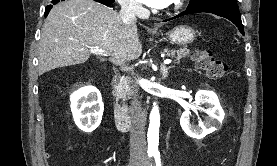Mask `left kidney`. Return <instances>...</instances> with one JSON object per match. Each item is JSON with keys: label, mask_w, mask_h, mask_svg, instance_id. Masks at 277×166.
<instances>
[{"label": "left kidney", "mask_w": 277, "mask_h": 166, "mask_svg": "<svg viewBox=\"0 0 277 166\" xmlns=\"http://www.w3.org/2000/svg\"><path fill=\"white\" fill-rule=\"evenodd\" d=\"M195 107L207 114L204 121L199 122V125L196 127L191 125L189 118L190 112L186 111L180 118V125L189 137L202 139L217 130L224 119L225 113L217 95L212 91H198L195 95Z\"/></svg>", "instance_id": "5707ae66"}]
</instances>
